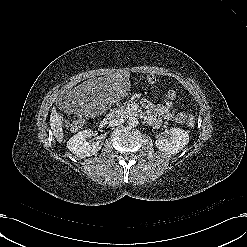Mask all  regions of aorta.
I'll use <instances>...</instances> for the list:
<instances>
[{"label":"aorta","mask_w":247,"mask_h":247,"mask_svg":"<svg viewBox=\"0 0 247 247\" xmlns=\"http://www.w3.org/2000/svg\"><path fill=\"white\" fill-rule=\"evenodd\" d=\"M127 124L130 126V127H136L138 126L139 124V121L136 117H129L128 120H127Z\"/></svg>","instance_id":"aorta-1"}]
</instances>
